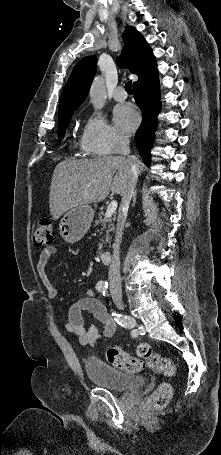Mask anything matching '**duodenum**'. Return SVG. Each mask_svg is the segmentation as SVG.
<instances>
[{
  "mask_svg": "<svg viewBox=\"0 0 221 455\" xmlns=\"http://www.w3.org/2000/svg\"><path fill=\"white\" fill-rule=\"evenodd\" d=\"M100 258L103 263L109 264L112 261V253L109 250H104L100 254Z\"/></svg>",
  "mask_w": 221,
  "mask_h": 455,
  "instance_id": "1",
  "label": "duodenum"
}]
</instances>
